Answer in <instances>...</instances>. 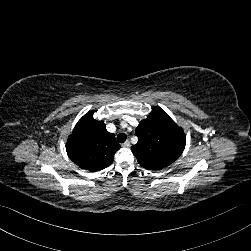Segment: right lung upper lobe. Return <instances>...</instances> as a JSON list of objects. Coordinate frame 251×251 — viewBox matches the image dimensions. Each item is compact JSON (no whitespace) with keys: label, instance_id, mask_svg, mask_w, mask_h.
<instances>
[{"label":"right lung upper lobe","instance_id":"1","mask_svg":"<svg viewBox=\"0 0 251 251\" xmlns=\"http://www.w3.org/2000/svg\"><path fill=\"white\" fill-rule=\"evenodd\" d=\"M119 149L115 135L106 130L103 121L93 119V111L78 121L66 144L69 158L80 168L91 172L110 166Z\"/></svg>","mask_w":251,"mask_h":251}]
</instances>
